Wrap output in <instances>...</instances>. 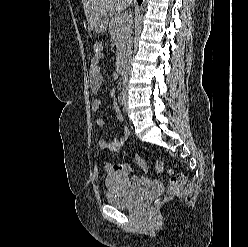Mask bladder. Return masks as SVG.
<instances>
[{
	"instance_id": "31cf9c89",
	"label": "bladder",
	"mask_w": 248,
	"mask_h": 247,
	"mask_svg": "<svg viewBox=\"0 0 248 247\" xmlns=\"http://www.w3.org/2000/svg\"><path fill=\"white\" fill-rule=\"evenodd\" d=\"M107 200L108 202L120 208L132 207L140 201L147 193L148 187L142 186L129 192L126 185V178L120 173H113L106 178Z\"/></svg>"
}]
</instances>
